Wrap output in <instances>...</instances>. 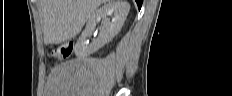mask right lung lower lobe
<instances>
[{"instance_id":"right-lung-lower-lobe-1","label":"right lung lower lobe","mask_w":232,"mask_h":96,"mask_svg":"<svg viewBox=\"0 0 232 96\" xmlns=\"http://www.w3.org/2000/svg\"><path fill=\"white\" fill-rule=\"evenodd\" d=\"M135 1H136L137 5H138V8L140 9L141 6H142L143 0H135Z\"/></svg>"}]
</instances>
